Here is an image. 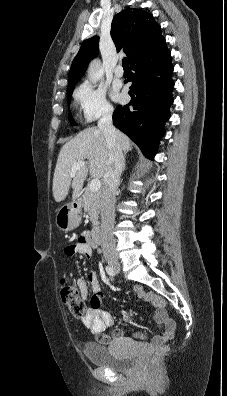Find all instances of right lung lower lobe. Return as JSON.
Here are the masks:
<instances>
[{"label":"right lung lower lobe","mask_w":227,"mask_h":396,"mask_svg":"<svg viewBox=\"0 0 227 396\" xmlns=\"http://www.w3.org/2000/svg\"><path fill=\"white\" fill-rule=\"evenodd\" d=\"M130 66L135 71L128 79L132 81L129 90L132 100L117 106L113 123L153 159L173 103V65L165 40L142 51Z\"/></svg>","instance_id":"98d812e1"}]
</instances>
